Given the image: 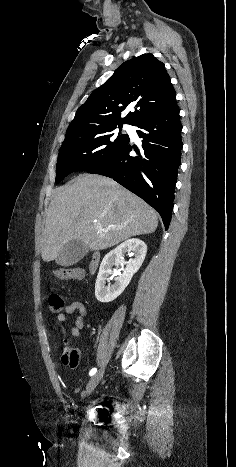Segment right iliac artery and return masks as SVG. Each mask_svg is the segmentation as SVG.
Returning a JSON list of instances; mask_svg holds the SVG:
<instances>
[{
  "label": "right iliac artery",
  "mask_w": 236,
  "mask_h": 467,
  "mask_svg": "<svg viewBox=\"0 0 236 467\" xmlns=\"http://www.w3.org/2000/svg\"><path fill=\"white\" fill-rule=\"evenodd\" d=\"M97 372V369L96 368H92L89 375L90 376H93L95 373Z\"/></svg>",
  "instance_id": "1"
}]
</instances>
